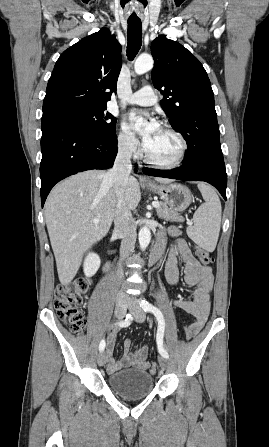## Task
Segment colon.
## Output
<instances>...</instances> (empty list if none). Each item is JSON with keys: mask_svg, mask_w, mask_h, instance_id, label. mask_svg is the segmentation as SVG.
Wrapping results in <instances>:
<instances>
[{"mask_svg": "<svg viewBox=\"0 0 269 447\" xmlns=\"http://www.w3.org/2000/svg\"><path fill=\"white\" fill-rule=\"evenodd\" d=\"M195 256L205 266L213 263L212 255L202 248H195ZM90 279L87 277H78L67 286L58 287L55 290L54 307L62 323L77 335L85 333L87 320L83 312L86 294L90 288ZM188 327V325H183ZM191 335H185L187 341L191 340ZM143 350L141 353H145ZM148 372L154 374L157 371V365L151 363L148 365Z\"/></svg>", "mask_w": 269, "mask_h": 447, "instance_id": "1", "label": "colon"}]
</instances>
